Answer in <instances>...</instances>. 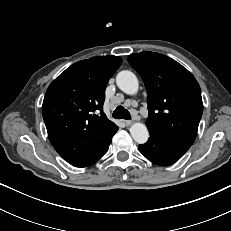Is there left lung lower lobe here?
Wrapping results in <instances>:
<instances>
[{
    "mask_svg": "<svg viewBox=\"0 0 231 231\" xmlns=\"http://www.w3.org/2000/svg\"><path fill=\"white\" fill-rule=\"evenodd\" d=\"M149 140L139 145L140 152L151 162L160 166H167L179 160L189 149L159 133L149 130Z\"/></svg>",
    "mask_w": 231,
    "mask_h": 231,
    "instance_id": "0a47b994",
    "label": "left lung lower lobe"
}]
</instances>
